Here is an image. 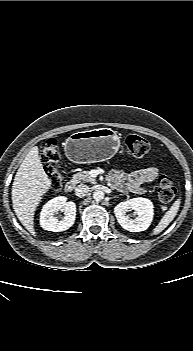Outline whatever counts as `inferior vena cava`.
Returning a JSON list of instances; mask_svg holds the SVG:
<instances>
[{
	"label": "inferior vena cava",
	"instance_id": "inferior-vena-cava-1",
	"mask_svg": "<svg viewBox=\"0 0 193 351\" xmlns=\"http://www.w3.org/2000/svg\"><path fill=\"white\" fill-rule=\"evenodd\" d=\"M90 191L89 186L80 184L75 188V195L78 197H84Z\"/></svg>",
	"mask_w": 193,
	"mask_h": 351
}]
</instances>
